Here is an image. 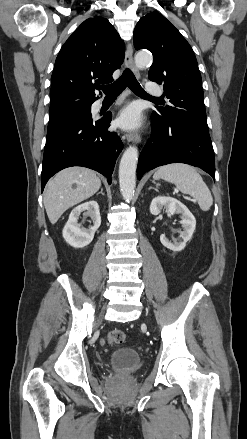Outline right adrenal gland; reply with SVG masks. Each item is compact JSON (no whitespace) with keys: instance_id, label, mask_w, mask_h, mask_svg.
<instances>
[{"instance_id":"2a0ac1e0","label":"right adrenal gland","mask_w":247,"mask_h":439,"mask_svg":"<svg viewBox=\"0 0 247 439\" xmlns=\"http://www.w3.org/2000/svg\"><path fill=\"white\" fill-rule=\"evenodd\" d=\"M99 194H102V195L104 196V193H103V188H101L100 192H99V193H97V195H99Z\"/></svg>"}]
</instances>
